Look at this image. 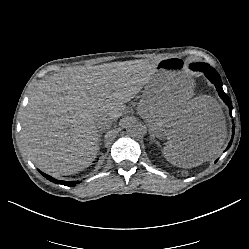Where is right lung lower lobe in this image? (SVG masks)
Masks as SVG:
<instances>
[{
    "label": "right lung lower lobe",
    "instance_id": "right-lung-lower-lobe-1",
    "mask_svg": "<svg viewBox=\"0 0 249 249\" xmlns=\"http://www.w3.org/2000/svg\"><path fill=\"white\" fill-rule=\"evenodd\" d=\"M43 176H45L48 180L52 181L53 183H57V184H63V185H66V186H75L76 185V182L75 181H60V180H56L54 178H52L51 176L49 175H46L45 173L43 172H40Z\"/></svg>",
    "mask_w": 249,
    "mask_h": 249
}]
</instances>
